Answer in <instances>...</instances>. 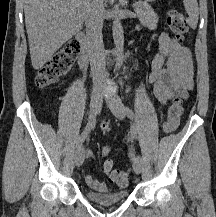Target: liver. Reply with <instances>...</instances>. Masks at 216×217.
I'll return each instance as SVG.
<instances>
[{
  "label": "liver",
  "mask_w": 216,
  "mask_h": 217,
  "mask_svg": "<svg viewBox=\"0 0 216 217\" xmlns=\"http://www.w3.org/2000/svg\"><path fill=\"white\" fill-rule=\"evenodd\" d=\"M90 0H24L32 66L42 68L80 31ZM103 2V0H102Z\"/></svg>",
  "instance_id": "1"
}]
</instances>
